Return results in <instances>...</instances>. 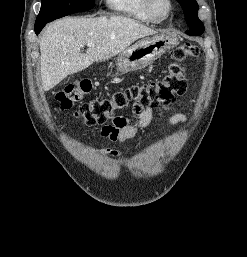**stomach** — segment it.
Returning a JSON list of instances; mask_svg holds the SVG:
<instances>
[{"instance_id": "stomach-1", "label": "stomach", "mask_w": 247, "mask_h": 257, "mask_svg": "<svg viewBox=\"0 0 247 257\" xmlns=\"http://www.w3.org/2000/svg\"><path fill=\"white\" fill-rule=\"evenodd\" d=\"M177 44L178 40L173 34L143 38L119 54L117 70L125 74L142 69Z\"/></svg>"}]
</instances>
